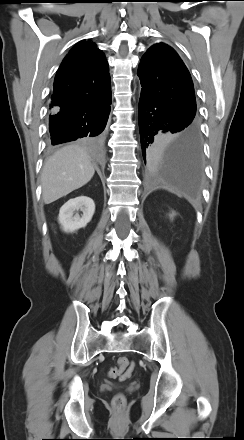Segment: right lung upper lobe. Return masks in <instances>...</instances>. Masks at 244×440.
Instances as JSON below:
<instances>
[{
  "label": "right lung upper lobe",
  "instance_id": "obj_1",
  "mask_svg": "<svg viewBox=\"0 0 244 440\" xmlns=\"http://www.w3.org/2000/svg\"><path fill=\"white\" fill-rule=\"evenodd\" d=\"M108 63L90 41L78 43L60 65L51 96L52 111L70 112L111 95Z\"/></svg>",
  "mask_w": 244,
  "mask_h": 440
}]
</instances>
